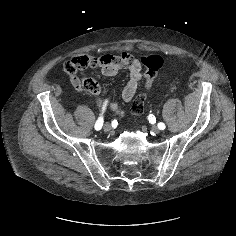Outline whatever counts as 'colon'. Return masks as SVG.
Wrapping results in <instances>:
<instances>
[{
	"label": "colon",
	"instance_id": "colon-1",
	"mask_svg": "<svg viewBox=\"0 0 236 236\" xmlns=\"http://www.w3.org/2000/svg\"><path fill=\"white\" fill-rule=\"evenodd\" d=\"M142 64L145 68V72H144V77H145V86L146 88H150L151 85L153 84L158 71L161 69L162 65H163V59L160 55L157 54H150L147 56H144L142 58ZM83 67L80 68H76L74 66V64L67 62L64 65V71L66 73H74L76 71H80ZM145 95L144 94H140L139 96H137L133 103H132V110L135 114H141L144 108V104H145Z\"/></svg>",
	"mask_w": 236,
	"mask_h": 236
}]
</instances>
